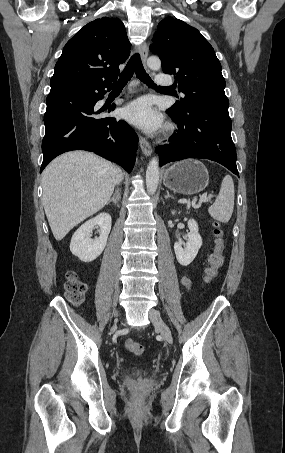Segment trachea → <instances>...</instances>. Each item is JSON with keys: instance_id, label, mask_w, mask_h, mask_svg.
Returning a JSON list of instances; mask_svg holds the SVG:
<instances>
[{"instance_id": "obj_1", "label": "trachea", "mask_w": 285, "mask_h": 453, "mask_svg": "<svg viewBox=\"0 0 285 453\" xmlns=\"http://www.w3.org/2000/svg\"><path fill=\"white\" fill-rule=\"evenodd\" d=\"M136 74L137 78L145 83L149 87L153 88H163L154 84L150 76L146 73L140 55L135 53L127 63L124 71L121 73L117 86H125L127 82L131 79L133 74Z\"/></svg>"}]
</instances>
